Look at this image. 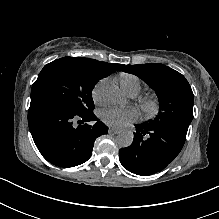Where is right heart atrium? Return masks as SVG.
<instances>
[{
    "mask_svg": "<svg viewBox=\"0 0 219 219\" xmlns=\"http://www.w3.org/2000/svg\"><path fill=\"white\" fill-rule=\"evenodd\" d=\"M107 80L102 79L94 85L91 90V98L94 103H101L103 101V89Z\"/></svg>",
    "mask_w": 219,
    "mask_h": 219,
    "instance_id": "1",
    "label": "right heart atrium"
}]
</instances>
